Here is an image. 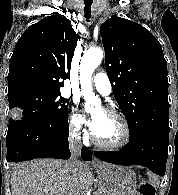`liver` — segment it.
<instances>
[{
    "label": "liver",
    "instance_id": "obj_1",
    "mask_svg": "<svg viewBox=\"0 0 178 195\" xmlns=\"http://www.w3.org/2000/svg\"><path fill=\"white\" fill-rule=\"evenodd\" d=\"M108 165V164H105ZM94 181L89 163L73 174L69 161L37 159L12 164V195H82Z\"/></svg>",
    "mask_w": 178,
    "mask_h": 195
}]
</instances>
